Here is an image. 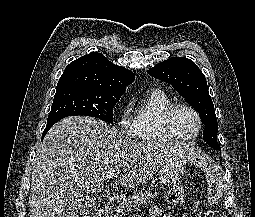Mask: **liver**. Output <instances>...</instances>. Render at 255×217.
I'll list each match as a JSON object with an SVG mask.
<instances>
[{
  "label": "liver",
  "instance_id": "liver-1",
  "mask_svg": "<svg viewBox=\"0 0 255 217\" xmlns=\"http://www.w3.org/2000/svg\"><path fill=\"white\" fill-rule=\"evenodd\" d=\"M171 156L199 157L190 144L129 139L92 117L56 123L37 150L29 194L30 217H79L83 191L99 192L110 173L121 187L145 184Z\"/></svg>",
  "mask_w": 255,
  "mask_h": 217
}]
</instances>
